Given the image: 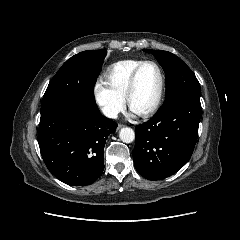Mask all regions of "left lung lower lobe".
I'll return each instance as SVG.
<instances>
[{"mask_svg": "<svg viewBox=\"0 0 240 240\" xmlns=\"http://www.w3.org/2000/svg\"><path fill=\"white\" fill-rule=\"evenodd\" d=\"M201 110L200 94H181L165 101L151 120L135 128L133 159L140 175L162 180L189 161Z\"/></svg>", "mask_w": 240, "mask_h": 240, "instance_id": "1", "label": "left lung lower lobe"}]
</instances>
